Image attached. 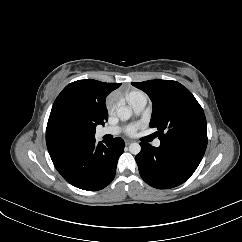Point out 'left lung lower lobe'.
I'll return each mask as SVG.
<instances>
[{
  "label": "left lung lower lobe",
  "instance_id": "1",
  "mask_svg": "<svg viewBox=\"0 0 242 242\" xmlns=\"http://www.w3.org/2000/svg\"><path fill=\"white\" fill-rule=\"evenodd\" d=\"M135 159L142 179L152 187L169 189L184 183L196 170L205 150L141 142Z\"/></svg>",
  "mask_w": 242,
  "mask_h": 242
}]
</instances>
